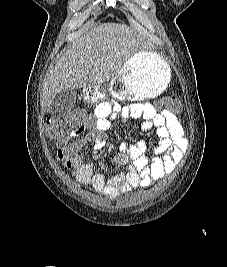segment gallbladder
Segmentation results:
<instances>
[{
	"label": "gallbladder",
	"instance_id": "obj_1",
	"mask_svg": "<svg viewBox=\"0 0 227 267\" xmlns=\"http://www.w3.org/2000/svg\"><path fill=\"white\" fill-rule=\"evenodd\" d=\"M76 103V91L65 89L56 94L48 108V113L52 116L59 117L67 114Z\"/></svg>",
	"mask_w": 227,
	"mask_h": 267
}]
</instances>
